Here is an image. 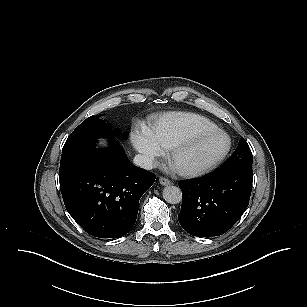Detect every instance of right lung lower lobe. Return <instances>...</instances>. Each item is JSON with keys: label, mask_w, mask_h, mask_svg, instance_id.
I'll list each match as a JSON object with an SVG mask.
<instances>
[{"label": "right lung lower lobe", "mask_w": 307, "mask_h": 307, "mask_svg": "<svg viewBox=\"0 0 307 307\" xmlns=\"http://www.w3.org/2000/svg\"><path fill=\"white\" fill-rule=\"evenodd\" d=\"M155 175L134 166L120 144L107 149L95 141L61 156L60 190L72 218L90 235L118 238L134 226L141 196Z\"/></svg>", "instance_id": "1"}]
</instances>
